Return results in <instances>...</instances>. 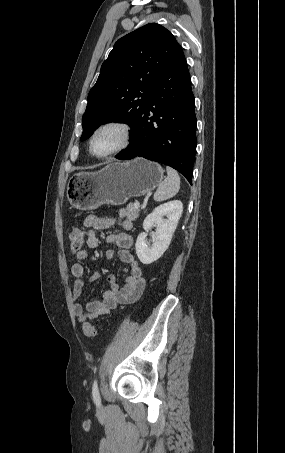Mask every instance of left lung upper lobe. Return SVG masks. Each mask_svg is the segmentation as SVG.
Here are the masks:
<instances>
[{"label":"left lung upper lobe","mask_w":285,"mask_h":453,"mask_svg":"<svg viewBox=\"0 0 285 453\" xmlns=\"http://www.w3.org/2000/svg\"><path fill=\"white\" fill-rule=\"evenodd\" d=\"M179 46L172 33L156 23L120 38L89 92L81 141L107 122H123L133 129Z\"/></svg>","instance_id":"left-lung-upper-lobe-1"}]
</instances>
